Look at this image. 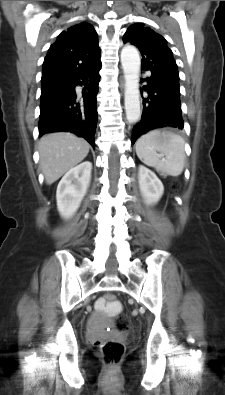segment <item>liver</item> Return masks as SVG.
<instances>
[{
  "label": "liver",
  "mask_w": 225,
  "mask_h": 395,
  "mask_svg": "<svg viewBox=\"0 0 225 395\" xmlns=\"http://www.w3.org/2000/svg\"><path fill=\"white\" fill-rule=\"evenodd\" d=\"M90 145L71 133L58 132L43 136L39 142L40 168L48 185L75 167L89 153Z\"/></svg>",
  "instance_id": "1"
}]
</instances>
